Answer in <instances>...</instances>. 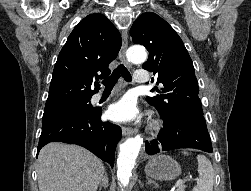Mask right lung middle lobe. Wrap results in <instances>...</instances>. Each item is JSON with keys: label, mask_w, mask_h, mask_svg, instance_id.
<instances>
[{"label": "right lung middle lobe", "mask_w": 251, "mask_h": 191, "mask_svg": "<svg viewBox=\"0 0 251 191\" xmlns=\"http://www.w3.org/2000/svg\"><path fill=\"white\" fill-rule=\"evenodd\" d=\"M97 109L94 108L91 103L90 99L80 101V102H75V103H70L50 109H45L42 122L45 123L47 121H50L52 119L69 115V114H75V113H92L96 111Z\"/></svg>", "instance_id": "dd1d6c3e"}]
</instances>
